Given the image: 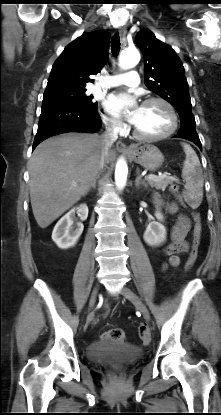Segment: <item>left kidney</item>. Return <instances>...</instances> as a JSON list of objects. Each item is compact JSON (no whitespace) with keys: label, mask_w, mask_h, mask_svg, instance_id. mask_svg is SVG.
<instances>
[{"label":"left kidney","mask_w":221,"mask_h":415,"mask_svg":"<svg viewBox=\"0 0 221 415\" xmlns=\"http://www.w3.org/2000/svg\"><path fill=\"white\" fill-rule=\"evenodd\" d=\"M155 217L158 221H152L147 226L143 238L149 246H159L166 240V228L161 223L164 219L160 211L155 212Z\"/></svg>","instance_id":"left-kidney-1"}]
</instances>
